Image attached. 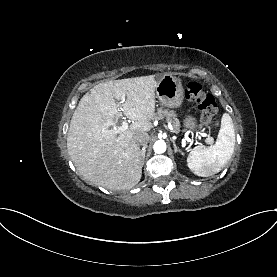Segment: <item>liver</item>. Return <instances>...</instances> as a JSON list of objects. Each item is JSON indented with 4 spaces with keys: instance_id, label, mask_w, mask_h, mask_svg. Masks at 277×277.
<instances>
[{
    "instance_id": "1",
    "label": "liver",
    "mask_w": 277,
    "mask_h": 277,
    "mask_svg": "<svg viewBox=\"0 0 277 277\" xmlns=\"http://www.w3.org/2000/svg\"><path fill=\"white\" fill-rule=\"evenodd\" d=\"M157 84L154 75L113 80L94 86L80 99L70 121L67 149L77 170L90 183L125 190L140 181L141 150L134 136L152 128ZM123 96L122 112L132 124L117 135L109 127L122 115L115 99Z\"/></svg>"
}]
</instances>
